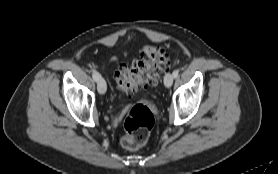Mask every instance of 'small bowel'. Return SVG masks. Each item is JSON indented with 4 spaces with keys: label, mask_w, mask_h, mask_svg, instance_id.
Here are the masks:
<instances>
[{
    "label": "small bowel",
    "mask_w": 278,
    "mask_h": 174,
    "mask_svg": "<svg viewBox=\"0 0 278 174\" xmlns=\"http://www.w3.org/2000/svg\"><path fill=\"white\" fill-rule=\"evenodd\" d=\"M117 60H118L117 57H112V58H111V61H112V62H117Z\"/></svg>",
    "instance_id": "1"
}]
</instances>
